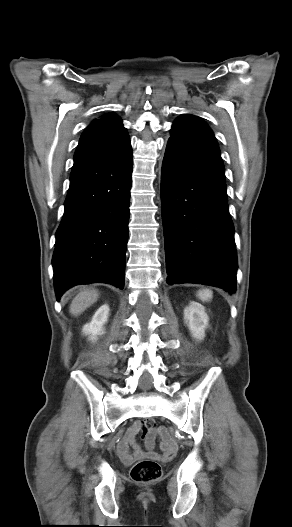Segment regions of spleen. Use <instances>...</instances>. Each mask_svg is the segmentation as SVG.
<instances>
[{
  "instance_id": "3e777b00",
  "label": "spleen",
  "mask_w": 292,
  "mask_h": 527,
  "mask_svg": "<svg viewBox=\"0 0 292 527\" xmlns=\"http://www.w3.org/2000/svg\"><path fill=\"white\" fill-rule=\"evenodd\" d=\"M197 296L202 301H209L210 299H212L213 293L210 289H203L198 291Z\"/></svg>"
}]
</instances>
